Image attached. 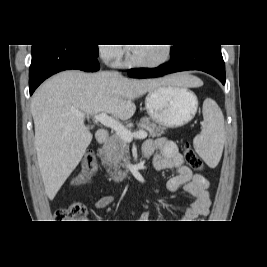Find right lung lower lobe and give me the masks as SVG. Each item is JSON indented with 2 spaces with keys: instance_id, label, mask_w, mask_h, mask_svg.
Returning <instances> with one entry per match:
<instances>
[{
  "instance_id": "98d812e1",
  "label": "right lung lower lobe",
  "mask_w": 267,
  "mask_h": 267,
  "mask_svg": "<svg viewBox=\"0 0 267 267\" xmlns=\"http://www.w3.org/2000/svg\"><path fill=\"white\" fill-rule=\"evenodd\" d=\"M71 69L96 72L100 69V65L97 56L84 46L59 44L32 45V61L29 71L30 95L51 75Z\"/></svg>"
}]
</instances>
